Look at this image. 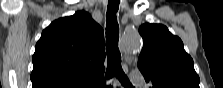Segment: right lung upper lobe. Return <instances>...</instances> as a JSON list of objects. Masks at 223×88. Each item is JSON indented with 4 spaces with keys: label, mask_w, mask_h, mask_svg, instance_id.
Masks as SVG:
<instances>
[{
    "label": "right lung upper lobe",
    "mask_w": 223,
    "mask_h": 88,
    "mask_svg": "<svg viewBox=\"0 0 223 88\" xmlns=\"http://www.w3.org/2000/svg\"><path fill=\"white\" fill-rule=\"evenodd\" d=\"M104 60V32L89 13L57 19L36 44L32 88H99Z\"/></svg>",
    "instance_id": "cb5924a9"
}]
</instances>
